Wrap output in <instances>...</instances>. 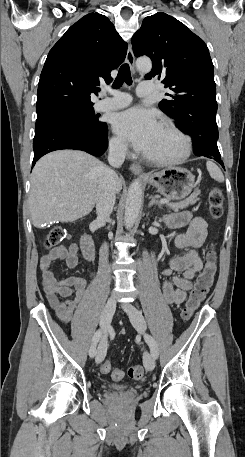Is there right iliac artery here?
I'll list each match as a JSON object with an SVG mask.
<instances>
[{"label": "right iliac artery", "mask_w": 245, "mask_h": 457, "mask_svg": "<svg viewBox=\"0 0 245 457\" xmlns=\"http://www.w3.org/2000/svg\"><path fill=\"white\" fill-rule=\"evenodd\" d=\"M102 333H103L102 329H99L94 333L93 338H92V343L90 346V350H89L90 357H94L96 355V346L102 337Z\"/></svg>", "instance_id": "1"}]
</instances>
